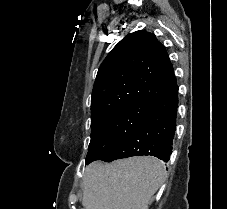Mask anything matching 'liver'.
Returning <instances> with one entry per match:
<instances>
[{"label": "liver", "mask_w": 227, "mask_h": 209, "mask_svg": "<svg viewBox=\"0 0 227 209\" xmlns=\"http://www.w3.org/2000/svg\"><path fill=\"white\" fill-rule=\"evenodd\" d=\"M164 171L155 157H129L110 165L94 161L83 177L82 205L84 209H148Z\"/></svg>", "instance_id": "obj_1"}]
</instances>
